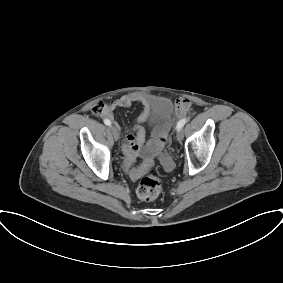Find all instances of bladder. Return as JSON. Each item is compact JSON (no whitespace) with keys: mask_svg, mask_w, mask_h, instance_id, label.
Wrapping results in <instances>:
<instances>
[{"mask_svg":"<svg viewBox=\"0 0 283 283\" xmlns=\"http://www.w3.org/2000/svg\"><path fill=\"white\" fill-rule=\"evenodd\" d=\"M171 105L169 102H166L159 110L160 115H166L170 112Z\"/></svg>","mask_w":283,"mask_h":283,"instance_id":"31cf9c89","label":"bladder"}]
</instances>
